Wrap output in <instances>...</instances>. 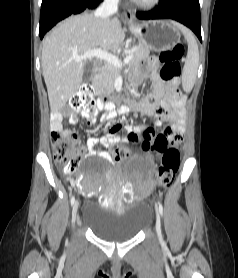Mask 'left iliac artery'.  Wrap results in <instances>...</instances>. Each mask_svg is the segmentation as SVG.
I'll return each instance as SVG.
<instances>
[{"label": "left iliac artery", "instance_id": "1", "mask_svg": "<svg viewBox=\"0 0 238 278\" xmlns=\"http://www.w3.org/2000/svg\"><path fill=\"white\" fill-rule=\"evenodd\" d=\"M159 213L160 215H163V206L161 203H159Z\"/></svg>", "mask_w": 238, "mask_h": 278}]
</instances>
